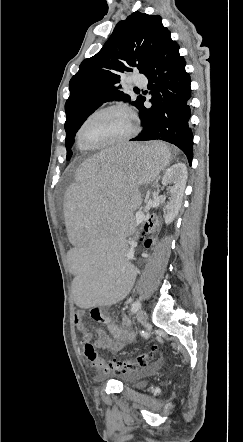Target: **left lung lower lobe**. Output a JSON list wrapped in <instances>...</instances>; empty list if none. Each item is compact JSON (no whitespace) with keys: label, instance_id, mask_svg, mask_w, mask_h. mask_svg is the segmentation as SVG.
Here are the masks:
<instances>
[{"label":"left lung lower lobe","instance_id":"obj_1","mask_svg":"<svg viewBox=\"0 0 243 442\" xmlns=\"http://www.w3.org/2000/svg\"><path fill=\"white\" fill-rule=\"evenodd\" d=\"M185 59L179 54V45L168 35L146 69L151 108H139L142 132L131 141L163 140L179 147L191 165L193 134L191 117V80L185 71Z\"/></svg>","mask_w":243,"mask_h":442}]
</instances>
